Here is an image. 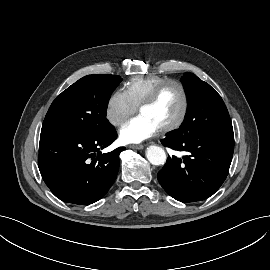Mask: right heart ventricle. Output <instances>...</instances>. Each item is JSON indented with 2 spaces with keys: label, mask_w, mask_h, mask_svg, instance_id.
I'll list each match as a JSON object with an SVG mask.
<instances>
[{
  "label": "right heart ventricle",
  "mask_w": 270,
  "mask_h": 270,
  "mask_svg": "<svg viewBox=\"0 0 270 270\" xmlns=\"http://www.w3.org/2000/svg\"><path fill=\"white\" fill-rule=\"evenodd\" d=\"M168 79L159 75L135 76L125 83V92L133 104L139 107L158 84Z\"/></svg>",
  "instance_id": "e07e8e85"
}]
</instances>
